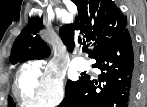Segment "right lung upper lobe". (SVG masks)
<instances>
[{
    "mask_svg": "<svg viewBox=\"0 0 147 107\" xmlns=\"http://www.w3.org/2000/svg\"><path fill=\"white\" fill-rule=\"evenodd\" d=\"M78 8V17L72 24L60 28V37L69 50L81 39L91 45L89 57H95L112 44L126 29L127 19L112 0H72ZM43 20H29L14 42L10 62L22 63L31 59H43L50 55L49 46L38 35Z\"/></svg>",
    "mask_w": 147,
    "mask_h": 107,
    "instance_id": "right-lung-upper-lobe-1",
    "label": "right lung upper lobe"
}]
</instances>
